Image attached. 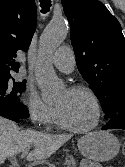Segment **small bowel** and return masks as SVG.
Returning <instances> with one entry per match:
<instances>
[{"label":"small bowel","mask_w":125,"mask_h":167,"mask_svg":"<svg viewBox=\"0 0 125 167\" xmlns=\"http://www.w3.org/2000/svg\"><path fill=\"white\" fill-rule=\"evenodd\" d=\"M81 167H100V166H98V165L93 166V165H90V163L88 161H85Z\"/></svg>","instance_id":"c3829d8e"}]
</instances>
